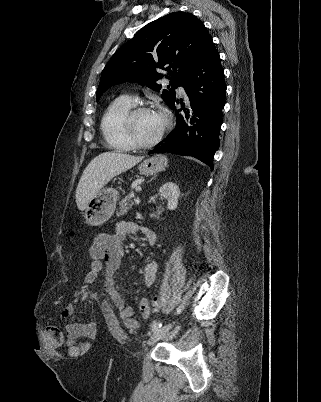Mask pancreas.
<instances>
[{"label": "pancreas", "mask_w": 321, "mask_h": 402, "mask_svg": "<svg viewBox=\"0 0 321 402\" xmlns=\"http://www.w3.org/2000/svg\"><path fill=\"white\" fill-rule=\"evenodd\" d=\"M134 205L133 200L128 195L121 202H119V211H117L116 215L118 217L125 215L128 210Z\"/></svg>", "instance_id": "obj_1"}]
</instances>
